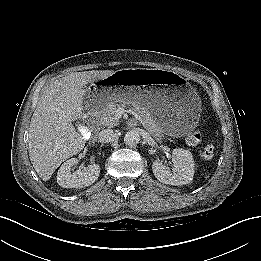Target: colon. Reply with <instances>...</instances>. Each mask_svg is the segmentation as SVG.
I'll use <instances>...</instances> for the list:
<instances>
[{
    "instance_id": "5ec220e1",
    "label": "colon",
    "mask_w": 261,
    "mask_h": 261,
    "mask_svg": "<svg viewBox=\"0 0 261 261\" xmlns=\"http://www.w3.org/2000/svg\"><path fill=\"white\" fill-rule=\"evenodd\" d=\"M201 141V133L198 130H192L188 137L187 142L192 145L196 146ZM215 154V142L211 141L205 145V147L199 152V156L202 159H211Z\"/></svg>"
}]
</instances>
